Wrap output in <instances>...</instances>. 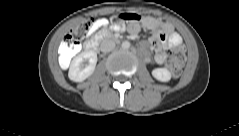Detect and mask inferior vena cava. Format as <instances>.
I'll list each match as a JSON object with an SVG mask.
<instances>
[{
	"label": "inferior vena cava",
	"mask_w": 239,
	"mask_h": 136,
	"mask_svg": "<svg viewBox=\"0 0 239 136\" xmlns=\"http://www.w3.org/2000/svg\"><path fill=\"white\" fill-rule=\"evenodd\" d=\"M115 48V42L111 39H104L100 44V50L104 53L110 52Z\"/></svg>",
	"instance_id": "obj_1"
}]
</instances>
